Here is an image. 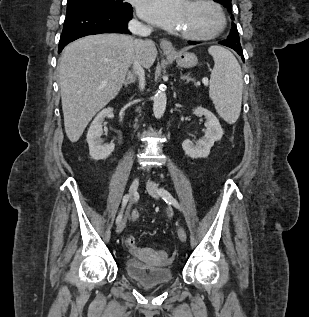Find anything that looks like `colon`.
I'll list each match as a JSON object with an SVG mask.
<instances>
[{"mask_svg": "<svg viewBox=\"0 0 309 317\" xmlns=\"http://www.w3.org/2000/svg\"><path fill=\"white\" fill-rule=\"evenodd\" d=\"M139 218V213L137 211H134L132 213V219L133 220H137ZM125 243L126 245L129 247V248H135V238L132 237V236H129L126 238L125 240ZM160 258L163 260V261H167L168 260V255L165 253V252H160Z\"/></svg>", "mask_w": 309, "mask_h": 317, "instance_id": "1", "label": "colon"}]
</instances>
